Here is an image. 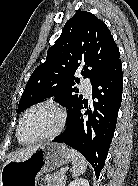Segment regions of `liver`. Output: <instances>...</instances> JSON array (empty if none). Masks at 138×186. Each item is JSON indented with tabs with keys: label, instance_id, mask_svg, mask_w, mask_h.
I'll return each mask as SVG.
<instances>
[{
	"label": "liver",
	"instance_id": "6515ba94",
	"mask_svg": "<svg viewBox=\"0 0 138 186\" xmlns=\"http://www.w3.org/2000/svg\"><path fill=\"white\" fill-rule=\"evenodd\" d=\"M40 145H35V146H32V147H28L26 149H23L21 151H18L14 154H12L10 156V158L6 161L5 164H7L9 161H11L12 159H17V158H22V157H26L28 155H30L33 151H35ZM4 164V165H5Z\"/></svg>",
	"mask_w": 138,
	"mask_h": 186
}]
</instances>
